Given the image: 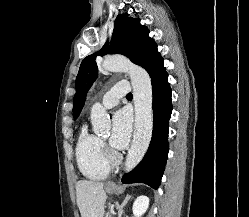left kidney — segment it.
I'll list each match as a JSON object with an SVG mask.
<instances>
[{
    "instance_id": "left-kidney-1",
    "label": "left kidney",
    "mask_w": 249,
    "mask_h": 217,
    "mask_svg": "<svg viewBox=\"0 0 249 217\" xmlns=\"http://www.w3.org/2000/svg\"><path fill=\"white\" fill-rule=\"evenodd\" d=\"M149 207V198L145 195L138 196L133 203V214L135 217H141Z\"/></svg>"
}]
</instances>
